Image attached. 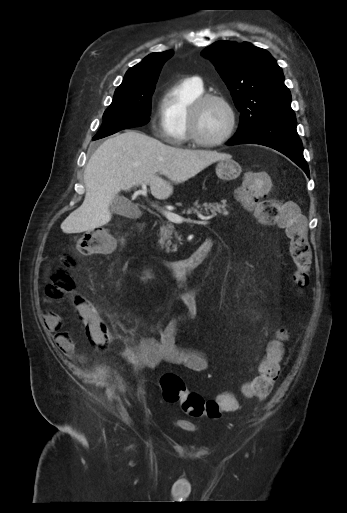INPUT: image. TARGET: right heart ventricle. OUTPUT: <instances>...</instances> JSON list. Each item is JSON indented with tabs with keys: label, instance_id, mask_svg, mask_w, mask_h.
<instances>
[{
	"label": "right heart ventricle",
	"instance_id": "right-heart-ventricle-1",
	"mask_svg": "<svg viewBox=\"0 0 347 513\" xmlns=\"http://www.w3.org/2000/svg\"><path fill=\"white\" fill-rule=\"evenodd\" d=\"M203 93V86L191 78L174 82L165 89L160 115L163 135L170 143L182 145L189 141L188 110L192 102Z\"/></svg>",
	"mask_w": 347,
	"mask_h": 513
}]
</instances>
